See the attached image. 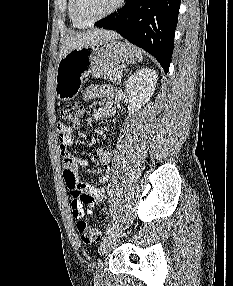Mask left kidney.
I'll use <instances>...</instances> for the list:
<instances>
[{
    "label": "left kidney",
    "mask_w": 233,
    "mask_h": 286,
    "mask_svg": "<svg viewBox=\"0 0 233 286\" xmlns=\"http://www.w3.org/2000/svg\"><path fill=\"white\" fill-rule=\"evenodd\" d=\"M157 83L155 70L143 68L136 71L126 82L129 115L139 111L140 107L152 97Z\"/></svg>",
    "instance_id": "1"
}]
</instances>
